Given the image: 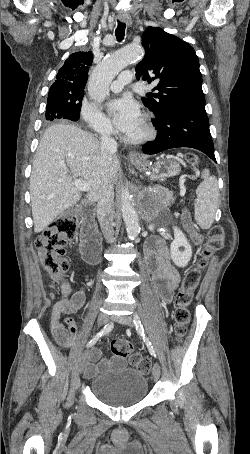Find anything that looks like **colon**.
Here are the masks:
<instances>
[{
  "mask_svg": "<svg viewBox=\"0 0 250 454\" xmlns=\"http://www.w3.org/2000/svg\"><path fill=\"white\" fill-rule=\"evenodd\" d=\"M188 160L191 164L197 163L195 154L189 153ZM78 216L75 211L69 210L61 214L40 235L35 242L44 272L54 283L61 281L69 268V261L65 257V246L77 235ZM225 233L222 227H212L204 243L199 260L194 268L189 269L183 276L181 284L175 294V310L173 318L175 322V335L178 340L183 338L191 320L190 304L193 292L199 284L202 271L206 268L211 257L224 246ZM65 285H61L62 287ZM111 351L114 355L128 358L130 363L141 372L151 369L149 359L141 357L133 352L132 347L126 341L116 339L112 341Z\"/></svg>",
  "mask_w": 250,
  "mask_h": 454,
  "instance_id": "5ec220e1",
  "label": "colon"
}]
</instances>
